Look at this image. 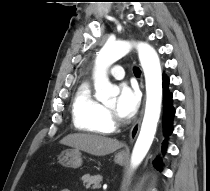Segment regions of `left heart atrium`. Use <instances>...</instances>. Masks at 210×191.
Segmentation results:
<instances>
[{
    "mask_svg": "<svg viewBox=\"0 0 210 191\" xmlns=\"http://www.w3.org/2000/svg\"><path fill=\"white\" fill-rule=\"evenodd\" d=\"M139 103L140 94L138 90L127 83L120 84L116 105L119 116L124 119L132 117L136 113Z\"/></svg>",
    "mask_w": 210,
    "mask_h": 191,
    "instance_id": "1",
    "label": "left heart atrium"
}]
</instances>
